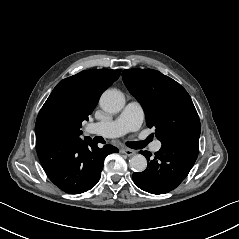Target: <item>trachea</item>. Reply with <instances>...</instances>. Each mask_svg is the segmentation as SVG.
Masks as SVG:
<instances>
[{
	"label": "trachea",
	"mask_w": 239,
	"mask_h": 239,
	"mask_svg": "<svg viewBox=\"0 0 239 239\" xmlns=\"http://www.w3.org/2000/svg\"><path fill=\"white\" fill-rule=\"evenodd\" d=\"M97 141L100 143H105L104 139L101 136H97ZM147 141H137V142H130L128 143V147L133 149H140L146 145Z\"/></svg>",
	"instance_id": "1"
}]
</instances>
